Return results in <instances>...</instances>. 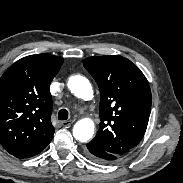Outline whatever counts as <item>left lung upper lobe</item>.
Returning a JSON list of instances; mask_svg holds the SVG:
<instances>
[{
  "label": "left lung upper lobe",
  "mask_w": 183,
  "mask_h": 183,
  "mask_svg": "<svg viewBox=\"0 0 183 183\" xmlns=\"http://www.w3.org/2000/svg\"><path fill=\"white\" fill-rule=\"evenodd\" d=\"M84 67L100 90V127L90 142L123 156L143 138L151 111V91L141 70L119 55L89 57Z\"/></svg>",
  "instance_id": "obj_1"
}]
</instances>
